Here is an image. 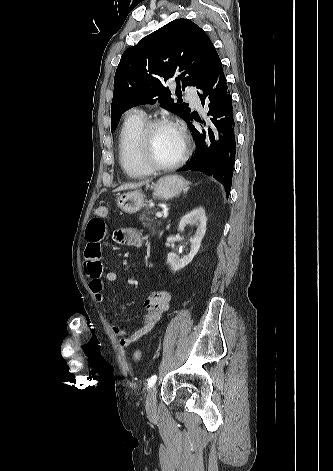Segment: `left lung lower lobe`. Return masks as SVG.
Listing matches in <instances>:
<instances>
[{
    "mask_svg": "<svg viewBox=\"0 0 333 471\" xmlns=\"http://www.w3.org/2000/svg\"><path fill=\"white\" fill-rule=\"evenodd\" d=\"M202 106L209 108L211 126L207 131L197 130L190 121L193 114L185 120L194 139L196 149L190 161L178 171L194 170L212 175L230 194L233 165L236 153V127L232 99L221 60L216 52L209 67L197 85Z\"/></svg>",
    "mask_w": 333,
    "mask_h": 471,
    "instance_id": "0a47b994",
    "label": "left lung lower lobe"
}]
</instances>
